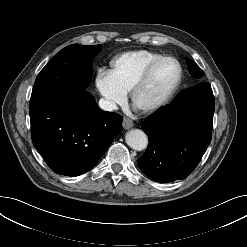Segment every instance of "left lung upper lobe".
Segmentation results:
<instances>
[{
	"label": "left lung upper lobe",
	"mask_w": 247,
	"mask_h": 247,
	"mask_svg": "<svg viewBox=\"0 0 247 247\" xmlns=\"http://www.w3.org/2000/svg\"><path fill=\"white\" fill-rule=\"evenodd\" d=\"M187 65H188V69H189V71L193 77L201 78L204 75V72L199 68V66L193 60L187 59ZM184 91H182L181 93H183Z\"/></svg>",
	"instance_id": "obj_1"
}]
</instances>
